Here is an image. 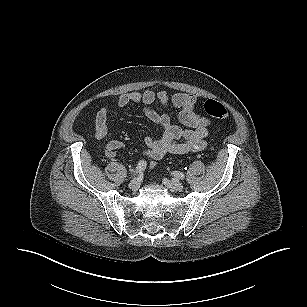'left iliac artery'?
Listing matches in <instances>:
<instances>
[{
  "mask_svg": "<svg viewBox=\"0 0 307 307\" xmlns=\"http://www.w3.org/2000/svg\"><path fill=\"white\" fill-rule=\"evenodd\" d=\"M173 176L179 178V179H184L185 178V175L179 171H174L173 173Z\"/></svg>",
  "mask_w": 307,
  "mask_h": 307,
  "instance_id": "1",
  "label": "left iliac artery"
}]
</instances>
